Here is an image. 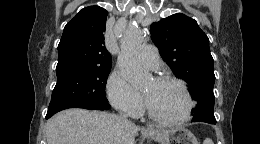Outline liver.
<instances>
[{
    "mask_svg": "<svg viewBox=\"0 0 260 144\" xmlns=\"http://www.w3.org/2000/svg\"><path fill=\"white\" fill-rule=\"evenodd\" d=\"M140 128L125 118L101 111L67 109L47 123V144H134Z\"/></svg>",
    "mask_w": 260,
    "mask_h": 144,
    "instance_id": "1",
    "label": "liver"
}]
</instances>
